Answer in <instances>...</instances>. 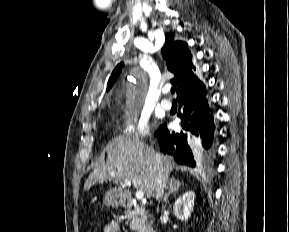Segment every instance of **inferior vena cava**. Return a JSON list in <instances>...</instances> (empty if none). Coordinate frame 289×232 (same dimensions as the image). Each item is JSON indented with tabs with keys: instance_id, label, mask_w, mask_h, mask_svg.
I'll return each instance as SVG.
<instances>
[{
	"instance_id": "inferior-vena-cava-1",
	"label": "inferior vena cava",
	"mask_w": 289,
	"mask_h": 232,
	"mask_svg": "<svg viewBox=\"0 0 289 232\" xmlns=\"http://www.w3.org/2000/svg\"><path fill=\"white\" fill-rule=\"evenodd\" d=\"M156 165L155 170L157 172L155 177V196L156 199L159 200L162 198L164 189L166 188L167 182H168V173L163 170V168L160 165V157L156 156Z\"/></svg>"
}]
</instances>
